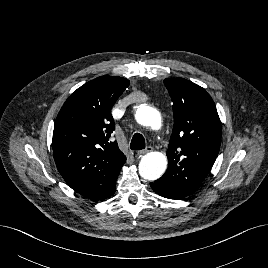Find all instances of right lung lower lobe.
Instances as JSON below:
<instances>
[{
  "mask_svg": "<svg viewBox=\"0 0 268 268\" xmlns=\"http://www.w3.org/2000/svg\"><path fill=\"white\" fill-rule=\"evenodd\" d=\"M114 192H115V188L113 189V191L111 192V194L109 196H112L114 194Z\"/></svg>",
  "mask_w": 268,
  "mask_h": 268,
  "instance_id": "obj_1",
  "label": "right lung lower lobe"
}]
</instances>
